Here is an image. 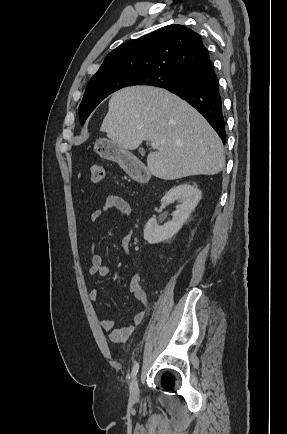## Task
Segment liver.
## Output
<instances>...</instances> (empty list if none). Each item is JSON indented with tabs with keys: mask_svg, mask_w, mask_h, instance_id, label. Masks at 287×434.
<instances>
[{
	"mask_svg": "<svg viewBox=\"0 0 287 434\" xmlns=\"http://www.w3.org/2000/svg\"><path fill=\"white\" fill-rule=\"evenodd\" d=\"M101 131L115 144L134 150L144 140L159 143L147 156L157 178L175 180L215 175L225 166L221 139L186 101L164 89L135 86L115 92Z\"/></svg>",
	"mask_w": 287,
	"mask_h": 434,
	"instance_id": "6515ba94",
	"label": "liver"
}]
</instances>
